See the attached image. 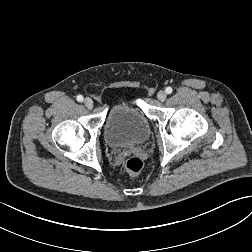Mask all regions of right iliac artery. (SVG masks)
<instances>
[{
  "mask_svg": "<svg viewBox=\"0 0 252 252\" xmlns=\"http://www.w3.org/2000/svg\"><path fill=\"white\" fill-rule=\"evenodd\" d=\"M76 99H77V101L81 102V101H83V96L82 95H78Z\"/></svg>",
  "mask_w": 252,
  "mask_h": 252,
  "instance_id": "1",
  "label": "right iliac artery"
}]
</instances>
